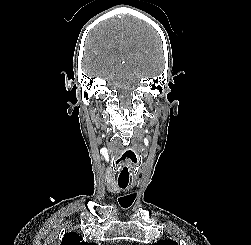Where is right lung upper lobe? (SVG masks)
Here are the masks:
<instances>
[{"label":"right lung upper lobe","mask_w":251,"mask_h":245,"mask_svg":"<svg viewBox=\"0 0 251 245\" xmlns=\"http://www.w3.org/2000/svg\"><path fill=\"white\" fill-rule=\"evenodd\" d=\"M61 245H95L93 243H87L76 232L66 233L63 237Z\"/></svg>","instance_id":"1"}]
</instances>
